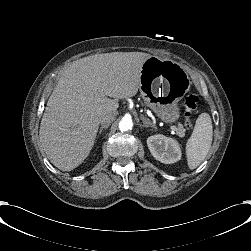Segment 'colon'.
<instances>
[{
    "mask_svg": "<svg viewBox=\"0 0 251 251\" xmlns=\"http://www.w3.org/2000/svg\"><path fill=\"white\" fill-rule=\"evenodd\" d=\"M198 102L199 98L196 95H191L187 97V99L183 102V116L185 120V125H187L186 122H188L193 112L196 110Z\"/></svg>",
    "mask_w": 251,
    "mask_h": 251,
    "instance_id": "colon-1",
    "label": "colon"
}]
</instances>
